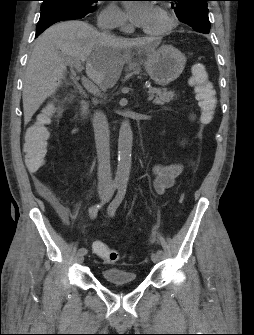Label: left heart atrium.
<instances>
[{"label": "left heart atrium", "instance_id": "left-heart-atrium-1", "mask_svg": "<svg viewBox=\"0 0 254 335\" xmlns=\"http://www.w3.org/2000/svg\"><path fill=\"white\" fill-rule=\"evenodd\" d=\"M127 17L138 28L147 31L155 9L148 1H129L125 4Z\"/></svg>", "mask_w": 254, "mask_h": 335}]
</instances>
